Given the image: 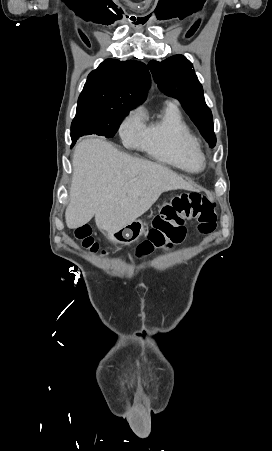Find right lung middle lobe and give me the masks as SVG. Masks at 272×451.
Masks as SVG:
<instances>
[{
	"label": "right lung middle lobe",
	"instance_id": "right-lung-middle-lobe-1",
	"mask_svg": "<svg viewBox=\"0 0 272 451\" xmlns=\"http://www.w3.org/2000/svg\"><path fill=\"white\" fill-rule=\"evenodd\" d=\"M130 109V107L120 106L78 105L76 116L71 124L72 145L83 135L97 134L106 138L113 137L121 120Z\"/></svg>",
	"mask_w": 272,
	"mask_h": 451
}]
</instances>
